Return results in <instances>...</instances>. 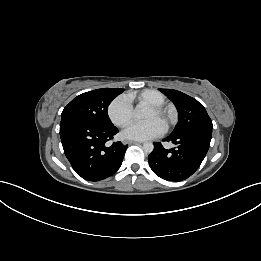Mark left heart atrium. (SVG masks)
I'll return each instance as SVG.
<instances>
[{
	"label": "left heart atrium",
	"mask_w": 261,
	"mask_h": 261,
	"mask_svg": "<svg viewBox=\"0 0 261 261\" xmlns=\"http://www.w3.org/2000/svg\"><path fill=\"white\" fill-rule=\"evenodd\" d=\"M165 131L164 125L157 119L143 123H132L123 132L124 138L129 140H148L160 136Z\"/></svg>",
	"instance_id": "left-heart-atrium-1"
}]
</instances>
